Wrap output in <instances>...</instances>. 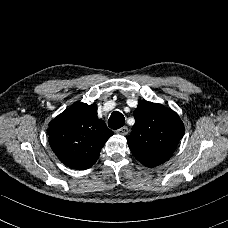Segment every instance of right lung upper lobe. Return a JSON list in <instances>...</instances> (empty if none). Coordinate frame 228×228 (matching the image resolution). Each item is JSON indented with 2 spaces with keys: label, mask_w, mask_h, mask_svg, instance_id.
I'll return each instance as SVG.
<instances>
[{
  "label": "right lung upper lobe",
  "mask_w": 228,
  "mask_h": 228,
  "mask_svg": "<svg viewBox=\"0 0 228 228\" xmlns=\"http://www.w3.org/2000/svg\"><path fill=\"white\" fill-rule=\"evenodd\" d=\"M48 135L49 144L62 163L85 170L97 161L113 132L98 119L96 104L78 102L50 122Z\"/></svg>",
  "instance_id": "cb5924a9"
}]
</instances>
